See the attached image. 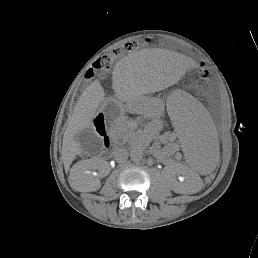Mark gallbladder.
<instances>
[{
    "label": "gallbladder",
    "instance_id": "obj_1",
    "mask_svg": "<svg viewBox=\"0 0 258 258\" xmlns=\"http://www.w3.org/2000/svg\"><path fill=\"white\" fill-rule=\"evenodd\" d=\"M75 139L80 143L82 150L86 153H98L101 147V138L93 128L89 127L81 130L75 135Z\"/></svg>",
    "mask_w": 258,
    "mask_h": 258
}]
</instances>
